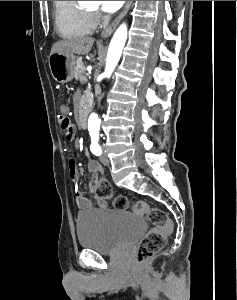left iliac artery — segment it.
<instances>
[{"label": "left iliac artery", "instance_id": "1", "mask_svg": "<svg viewBox=\"0 0 237 300\" xmlns=\"http://www.w3.org/2000/svg\"><path fill=\"white\" fill-rule=\"evenodd\" d=\"M90 136H91V142H92L90 145L91 152L96 156L101 155L102 149L98 144L99 135L97 133L90 132Z\"/></svg>", "mask_w": 237, "mask_h": 300}]
</instances>
